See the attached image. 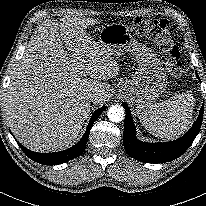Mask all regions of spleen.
I'll return each instance as SVG.
<instances>
[{
    "label": "spleen",
    "instance_id": "spleen-1",
    "mask_svg": "<svg viewBox=\"0 0 206 206\" xmlns=\"http://www.w3.org/2000/svg\"><path fill=\"white\" fill-rule=\"evenodd\" d=\"M193 106L194 97L187 91L154 105L150 104L137 114L149 133L158 138L172 139L188 129Z\"/></svg>",
    "mask_w": 206,
    "mask_h": 206
}]
</instances>
